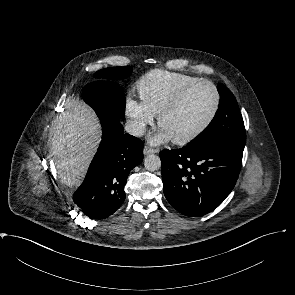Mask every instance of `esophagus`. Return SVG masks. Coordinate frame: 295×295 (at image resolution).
<instances>
[{
  "mask_svg": "<svg viewBox=\"0 0 295 295\" xmlns=\"http://www.w3.org/2000/svg\"><path fill=\"white\" fill-rule=\"evenodd\" d=\"M143 153H144V155L153 154V153H157V150L154 148L145 146L143 149Z\"/></svg>",
  "mask_w": 295,
  "mask_h": 295,
  "instance_id": "34e87169",
  "label": "esophagus"
}]
</instances>
